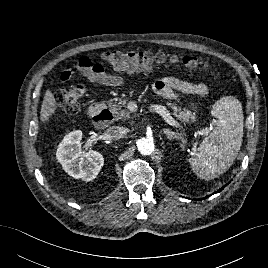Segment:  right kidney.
Segmentation results:
<instances>
[{
	"mask_svg": "<svg viewBox=\"0 0 268 268\" xmlns=\"http://www.w3.org/2000/svg\"><path fill=\"white\" fill-rule=\"evenodd\" d=\"M82 131L68 133L57 149L56 157L65 172L75 179L91 181L104 164L103 156L94 150H81Z\"/></svg>",
	"mask_w": 268,
	"mask_h": 268,
	"instance_id": "right-kidney-1",
	"label": "right kidney"
}]
</instances>
